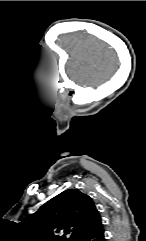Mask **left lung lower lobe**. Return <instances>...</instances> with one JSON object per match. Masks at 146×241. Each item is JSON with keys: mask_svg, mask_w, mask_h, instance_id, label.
<instances>
[{"mask_svg": "<svg viewBox=\"0 0 146 241\" xmlns=\"http://www.w3.org/2000/svg\"><path fill=\"white\" fill-rule=\"evenodd\" d=\"M78 241H105L102 222L100 221L93 228L83 233Z\"/></svg>", "mask_w": 146, "mask_h": 241, "instance_id": "1", "label": "left lung lower lobe"}]
</instances>
